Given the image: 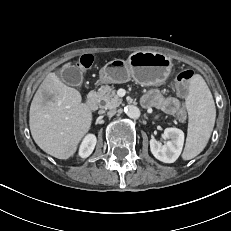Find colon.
Instances as JSON below:
<instances>
[{
	"label": "colon",
	"instance_id": "obj_1",
	"mask_svg": "<svg viewBox=\"0 0 231 231\" xmlns=\"http://www.w3.org/2000/svg\"><path fill=\"white\" fill-rule=\"evenodd\" d=\"M92 63H93V57L92 55H89V54L83 55L78 61V65L82 68H89L91 67ZM193 75H194V72L192 70L186 69V70L181 71L176 76L177 90L181 95H185L187 93L188 85ZM178 119L180 121H185L186 113L184 110H181L178 113Z\"/></svg>",
	"mask_w": 231,
	"mask_h": 231
}]
</instances>
